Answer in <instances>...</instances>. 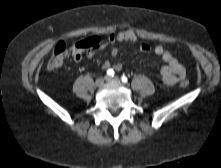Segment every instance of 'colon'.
Listing matches in <instances>:
<instances>
[{"label": "colon", "instance_id": "5ec220e1", "mask_svg": "<svg viewBox=\"0 0 221 168\" xmlns=\"http://www.w3.org/2000/svg\"><path fill=\"white\" fill-rule=\"evenodd\" d=\"M107 39L112 44H125L127 41L131 44L137 42L138 37L136 31L134 29H127L125 30H116L115 32H109L107 34ZM99 45V39L96 37L90 38L86 41L79 42L74 45L71 51V55L75 60H79L85 50L92 49ZM68 56V50L63 42H59L54 50L53 53L47 63V68L49 70H54L61 67ZM182 87H187L188 82L182 81Z\"/></svg>", "mask_w": 221, "mask_h": 168}]
</instances>
